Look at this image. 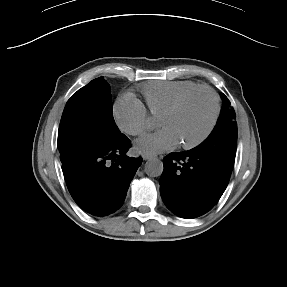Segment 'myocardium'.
Listing matches in <instances>:
<instances>
[{
  "label": "myocardium",
  "instance_id": "f54148a6",
  "mask_svg": "<svg viewBox=\"0 0 287 287\" xmlns=\"http://www.w3.org/2000/svg\"><path fill=\"white\" fill-rule=\"evenodd\" d=\"M198 92H206L211 97L213 102V111L206 130L198 138L190 142L180 143V147L184 149H192L199 146L211 135L220 113L219 98L215 91L207 86H197L180 96L161 116V118H164L174 115L189 98Z\"/></svg>",
  "mask_w": 287,
  "mask_h": 287
}]
</instances>
